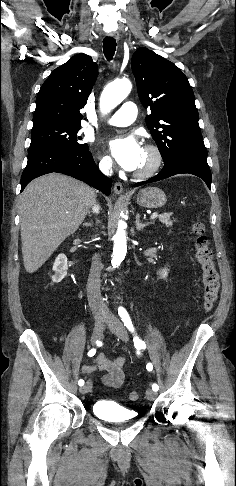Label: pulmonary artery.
<instances>
[{"mask_svg": "<svg viewBox=\"0 0 236 486\" xmlns=\"http://www.w3.org/2000/svg\"><path fill=\"white\" fill-rule=\"evenodd\" d=\"M137 107L133 102H125L121 108L106 120V123L113 126L124 127L135 121Z\"/></svg>", "mask_w": 236, "mask_h": 486, "instance_id": "1", "label": "pulmonary artery"}]
</instances>
